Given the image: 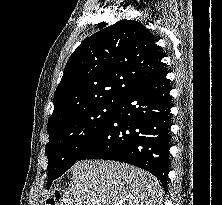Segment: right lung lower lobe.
Returning <instances> with one entry per match:
<instances>
[{"instance_id":"obj_1","label":"right lung lower lobe","mask_w":222,"mask_h":205,"mask_svg":"<svg viewBox=\"0 0 222 205\" xmlns=\"http://www.w3.org/2000/svg\"><path fill=\"white\" fill-rule=\"evenodd\" d=\"M167 70L133 88L108 123L88 144L79 160L125 162L168 184L171 103Z\"/></svg>"}]
</instances>
